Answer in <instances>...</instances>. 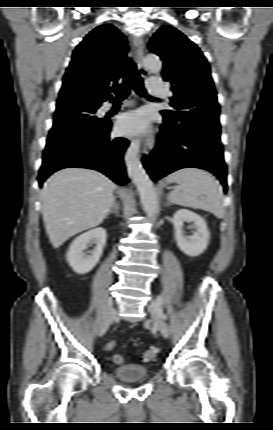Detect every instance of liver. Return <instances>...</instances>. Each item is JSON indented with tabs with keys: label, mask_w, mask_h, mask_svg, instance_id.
Masks as SVG:
<instances>
[{
	"label": "liver",
	"mask_w": 273,
	"mask_h": 430,
	"mask_svg": "<svg viewBox=\"0 0 273 430\" xmlns=\"http://www.w3.org/2000/svg\"><path fill=\"white\" fill-rule=\"evenodd\" d=\"M115 187L94 169L71 167L55 172L40 193L43 221L53 247L101 224L113 204Z\"/></svg>",
	"instance_id": "obj_1"
}]
</instances>
